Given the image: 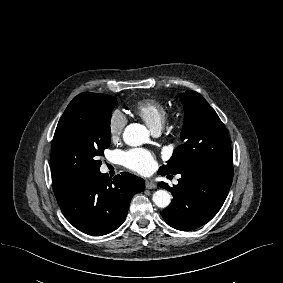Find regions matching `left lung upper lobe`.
<instances>
[{"label":"left lung upper lobe","instance_id":"left-lung-upper-lobe-1","mask_svg":"<svg viewBox=\"0 0 283 283\" xmlns=\"http://www.w3.org/2000/svg\"><path fill=\"white\" fill-rule=\"evenodd\" d=\"M180 99L185 111L183 143L158 172L175 175L192 170L221 172L233 169L229 137L214 109L194 91L181 93Z\"/></svg>","mask_w":283,"mask_h":283}]
</instances>
